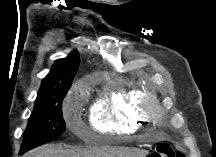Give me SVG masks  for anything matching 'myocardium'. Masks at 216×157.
Here are the masks:
<instances>
[{"label":"myocardium","mask_w":216,"mask_h":157,"mask_svg":"<svg viewBox=\"0 0 216 157\" xmlns=\"http://www.w3.org/2000/svg\"><path fill=\"white\" fill-rule=\"evenodd\" d=\"M139 110L143 116L154 119L160 113L159 102L155 94L149 93L141 97Z\"/></svg>","instance_id":"myocardium-1"}]
</instances>
